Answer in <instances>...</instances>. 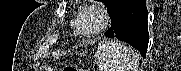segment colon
I'll use <instances>...</instances> for the list:
<instances>
[{"label": "colon", "instance_id": "obj_1", "mask_svg": "<svg viewBox=\"0 0 181 71\" xmlns=\"http://www.w3.org/2000/svg\"><path fill=\"white\" fill-rule=\"evenodd\" d=\"M63 71H84V70L73 65H66L64 66Z\"/></svg>", "mask_w": 181, "mask_h": 71}]
</instances>
